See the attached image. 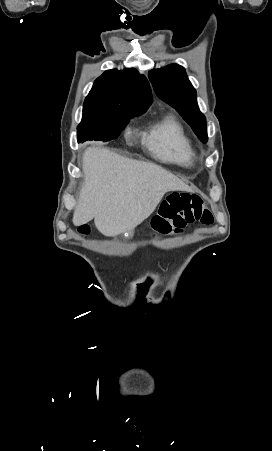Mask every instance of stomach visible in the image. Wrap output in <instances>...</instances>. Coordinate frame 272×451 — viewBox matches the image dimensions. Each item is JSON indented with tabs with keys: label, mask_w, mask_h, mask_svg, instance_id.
Returning a JSON list of instances; mask_svg holds the SVG:
<instances>
[{
	"label": "stomach",
	"mask_w": 272,
	"mask_h": 451,
	"mask_svg": "<svg viewBox=\"0 0 272 451\" xmlns=\"http://www.w3.org/2000/svg\"><path fill=\"white\" fill-rule=\"evenodd\" d=\"M126 235L127 237H131V235H133V229H127Z\"/></svg>",
	"instance_id": "0dacf381"
}]
</instances>
